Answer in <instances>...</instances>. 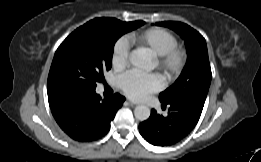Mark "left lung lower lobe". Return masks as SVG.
<instances>
[{"label": "left lung lower lobe", "mask_w": 261, "mask_h": 162, "mask_svg": "<svg viewBox=\"0 0 261 162\" xmlns=\"http://www.w3.org/2000/svg\"><path fill=\"white\" fill-rule=\"evenodd\" d=\"M162 103L170 106L166 117L153 109L150 117L139 125L142 137L155 146L173 145L187 136L196 126L204 106L187 97Z\"/></svg>", "instance_id": "obj_1"}]
</instances>
